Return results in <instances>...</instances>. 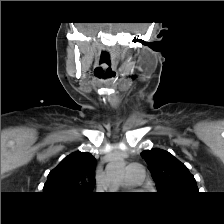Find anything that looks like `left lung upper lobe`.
Instances as JSON below:
<instances>
[{
    "label": "left lung upper lobe",
    "mask_w": 224,
    "mask_h": 224,
    "mask_svg": "<svg viewBox=\"0 0 224 224\" xmlns=\"http://www.w3.org/2000/svg\"><path fill=\"white\" fill-rule=\"evenodd\" d=\"M141 156L149 165L159 194L180 197L199 192L194 176L169 152L153 148L144 150Z\"/></svg>",
    "instance_id": "5c2ea615"
}]
</instances>
